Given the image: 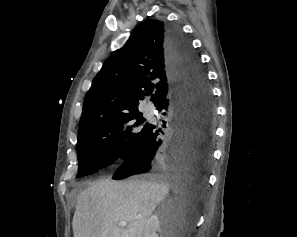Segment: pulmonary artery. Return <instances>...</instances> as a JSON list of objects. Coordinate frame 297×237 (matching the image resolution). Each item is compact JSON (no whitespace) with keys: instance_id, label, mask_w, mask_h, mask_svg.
<instances>
[{"instance_id":"obj_1","label":"pulmonary artery","mask_w":297,"mask_h":237,"mask_svg":"<svg viewBox=\"0 0 297 237\" xmlns=\"http://www.w3.org/2000/svg\"><path fill=\"white\" fill-rule=\"evenodd\" d=\"M148 110L150 111V110H152V107L150 106V107H148Z\"/></svg>"}]
</instances>
